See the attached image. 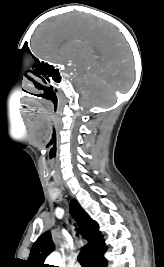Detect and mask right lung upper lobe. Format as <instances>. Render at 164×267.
Wrapping results in <instances>:
<instances>
[{
	"instance_id": "1",
	"label": "right lung upper lobe",
	"mask_w": 164,
	"mask_h": 267,
	"mask_svg": "<svg viewBox=\"0 0 164 267\" xmlns=\"http://www.w3.org/2000/svg\"><path fill=\"white\" fill-rule=\"evenodd\" d=\"M70 211L80 228L83 238L88 240V244L84 246L87 258L89 259L95 254L106 250L107 247L105 246L103 236L99 231L97 222L89 217L75 199H73L70 203ZM54 248L55 246L52 241L50 231L43 233L36 240L31 249V253L28 258V265L30 267H45L43 262Z\"/></svg>"
}]
</instances>
